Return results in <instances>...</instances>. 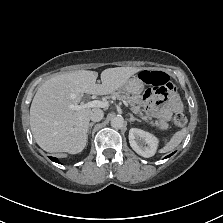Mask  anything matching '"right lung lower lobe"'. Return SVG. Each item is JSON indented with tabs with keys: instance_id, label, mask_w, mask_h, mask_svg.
<instances>
[{
	"instance_id": "right-lung-lower-lobe-1",
	"label": "right lung lower lobe",
	"mask_w": 223,
	"mask_h": 223,
	"mask_svg": "<svg viewBox=\"0 0 223 223\" xmlns=\"http://www.w3.org/2000/svg\"><path fill=\"white\" fill-rule=\"evenodd\" d=\"M52 161L59 163L58 159L55 157H49Z\"/></svg>"
}]
</instances>
